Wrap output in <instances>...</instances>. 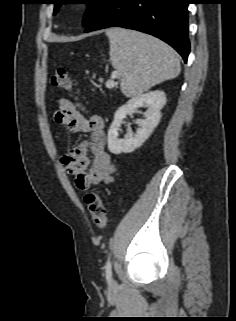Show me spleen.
<instances>
[{"mask_svg":"<svg viewBox=\"0 0 236 321\" xmlns=\"http://www.w3.org/2000/svg\"><path fill=\"white\" fill-rule=\"evenodd\" d=\"M110 61L121 75V91L135 97L180 73L177 53L166 43L137 31L122 28L106 32Z\"/></svg>","mask_w":236,"mask_h":321,"instance_id":"spleen-1","label":"spleen"}]
</instances>
